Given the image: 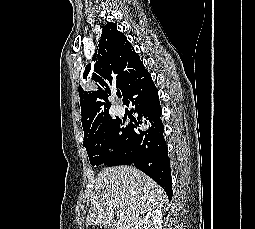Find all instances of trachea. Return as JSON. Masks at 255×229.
I'll return each instance as SVG.
<instances>
[{
	"label": "trachea",
	"mask_w": 255,
	"mask_h": 229,
	"mask_svg": "<svg viewBox=\"0 0 255 229\" xmlns=\"http://www.w3.org/2000/svg\"><path fill=\"white\" fill-rule=\"evenodd\" d=\"M117 96H118V97H121V93H120V92H117Z\"/></svg>",
	"instance_id": "obj_1"
}]
</instances>
